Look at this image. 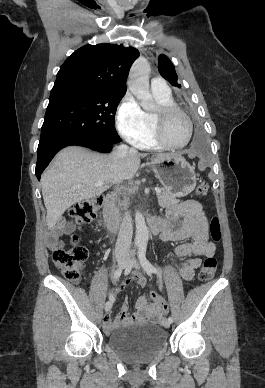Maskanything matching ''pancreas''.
I'll list each match as a JSON object with an SVG mask.
<instances>
[{
    "mask_svg": "<svg viewBox=\"0 0 265 388\" xmlns=\"http://www.w3.org/2000/svg\"><path fill=\"white\" fill-rule=\"evenodd\" d=\"M157 198L161 208H167V206H172V204H178L179 202L175 194H170V192H165V190H163L162 194H158ZM121 206H128V204H126V200L124 204H121Z\"/></svg>",
    "mask_w": 265,
    "mask_h": 388,
    "instance_id": "1",
    "label": "pancreas"
}]
</instances>
